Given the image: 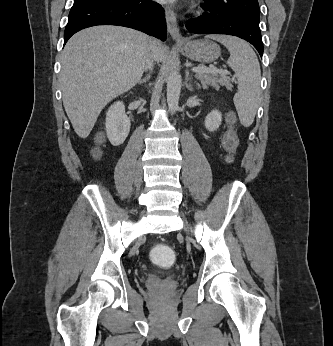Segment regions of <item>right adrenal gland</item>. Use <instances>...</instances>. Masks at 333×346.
Segmentation results:
<instances>
[{"label":"right adrenal gland","instance_id":"obj_1","mask_svg":"<svg viewBox=\"0 0 333 346\" xmlns=\"http://www.w3.org/2000/svg\"><path fill=\"white\" fill-rule=\"evenodd\" d=\"M150 79V75L148 74L144 79H141L138 84H143V83H146L147 81H149Z\"/></svg>","mask_w":333,"mask_h":346}]
</instances>
